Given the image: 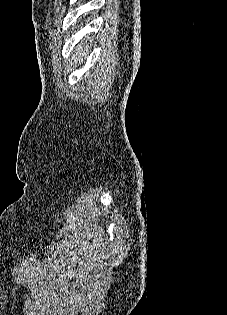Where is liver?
Segmentation results:
<instances>
[{"instance_id":"liver-1","label":"liver","mask_w":227,"mask_h":315,"mask_svg":"<svg viewBox=\"0 0 227 315\" xmlns=\"http://www.w3.org/2000/svg\"><path fill=\"white\" fill-rule=\"evenodd\" d=\"M89 51L88 49H84V46L78 45L76 47V52L71 58L69 70H73L74 68L78 67V65L82 64L83 61L86 59ZM73 66V68H72Z\"/></svg>"}]
</instances>
